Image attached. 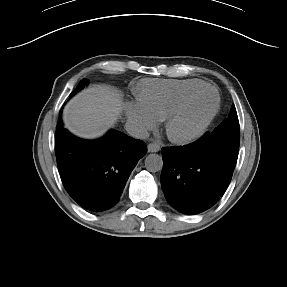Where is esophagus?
<instances>
[{
    "label": "esophagus",
    "mask_w": 287,
    "mask_h": 287,
    "mask_svg": "<svg viewBox=\"0 0 287 287\" xmlns=\"http://www.w3.org/2000/svg\"><path fill=\"white\" fill-rule=\"evenodd\" d=\"M160 150V145L156 142L148 144V152H158Z\"/></svg>",
    "instance_id": "obj_1"
}]
</instances>
